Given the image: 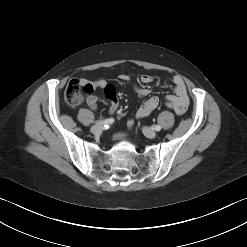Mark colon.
<instances>
[{
	"mask_svg": "<svg viewBox=\"0 0 247 247\" xmlns=\"http://www.w3.org/2000/svg\"><path fill=\"white\" fill-rule=\"evenodd\" d=\"M92 91L90 86L82 85L78 80H72L66 86L64 98L69 106L77 107L82 103L84 94L91 93ZM165 106L175 111L174 102L166 100Z\"/></svg>",
	"mask_w": 247,
	"mask_h": 247,
	"instance_id": "1",
	"label": "colon"
}]
</instances>
